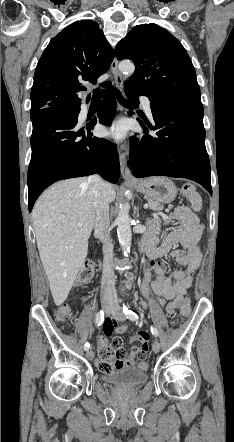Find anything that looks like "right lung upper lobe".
I'll use <instances>...</instances> for the list:
<instances>
[{
    "instance_id": "obj_1",
    "label": "right lung upper lobe",
    "mask_w": 234,
    "mask_h": 442,
    "mask_svg": "<svg viewBox=\"0 0 234 442\" xmlns=\"http://www.w3.org/2000/svg\"><path fill=\"white\" fill-rule=\"evenodd\" d=\"M113 58L114 51L96 22L83 20L67 26L39 59L31 89V112L80 104L78 92L85 89L82 83L95 84Z\"/></svg>"
}]
</instances>
